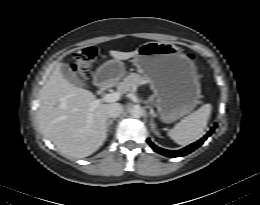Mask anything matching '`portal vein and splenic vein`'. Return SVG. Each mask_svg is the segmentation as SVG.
I'll return each instance as SVG.
<instances>
[{
  "mask_svg": "<svg viewBox=\"0 0 260 205\" xmlns=\"http://www.w3.org/2000/svg\"><path fill=\"white\" fill-rule=\"evenodd\" d=\"M120 98H121V93H119V92L105 94L101 99H95L91 103V108L93 109V108L97 107L102 102H115V101H118Z\"/></svg>",
  "mask_w": 260,
  "mask_h": 205,
  "instance_id": "portal-vein-and-splenic-vein-1",
  "label": "portal vein and splenic vein"
}]
</instances>
